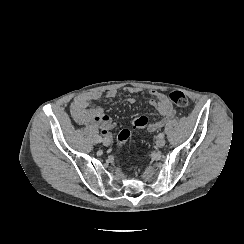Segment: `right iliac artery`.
Returning a JSON list of instances; mask_svg holds the SVG:
<instances>
[{
    "mask_svg": "<svg viewBox=\"0 0 244 244\" xmlns=\"http://www.w3.org/2000/svg\"><path fill=\"white\" fill-rule=\"evenodd\" d=\"M97 141H98L99 143L102 142V136H101V135H99V136L97 137Z\"/></svg>",
    "mask_w": 244,
    "mask_h": 244,
    "instance_id": "82829eb1",
    "label": "right iliac artery"
}]
</instances>
